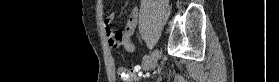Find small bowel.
I'll use <instances>...</instances> for the list:
<instances>
[{"mask_svg": "<svg viewBox=\"0 0 279 82\" xmlns=\"http://www.w3.org/2000/svg\"><path fill=\"white\" fill-rule=\"evenodd\" d=\"M115 18V12H111L104 20V26L108 36V43L112 48H124L128 51L134 50L132 38L138 22V9L134 7L125 23L123 29H113L112 22Z\"/></svg>", "mask_w": 279, "mask_h": 82, "instance_id": "obj_1", "label": "small bowel"}]
</instances>
